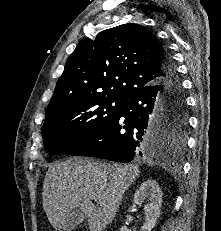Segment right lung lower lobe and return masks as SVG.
Listing matches in <instances>:
<instances>
[{
	"instance_id": "right-lung-lower-lobe-1",
	"label": "right lung lower lobe",
	"mask_w": 221,
	"mask_h": 231,
	"mask_svg": "<svg viewBox=\"0 0 221 231\" xmlns=\"http://www.w3.org/2000/svg\"><path fill=\"white\" fill-rule=\"evenodd\" d=\"M161 68L160 83L128 95L120 111L101 130L66 153L123 163L158 154L168 135L157 129V112L166 102L185 103L175 63L166 49Z\"/></svg>"
}]
</instances>
